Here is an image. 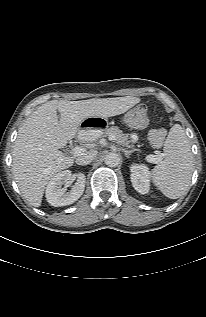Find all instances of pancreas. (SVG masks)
<instances>
[{
    "label": "pancreas",
    "instance_id": "pancreas-1",
    "mask_svg": "<svg viewBox=\"0 0 206 317\" xmlns=\"http://www.w3.org/2000/svg\"><path fill=\"white\" fill-rule=\"evenodd\" d=\"M104 136H114V141L122 146H126L128 148L133 147V145L130 144L129 136L128 134H124L117 126H112L110 128H107L103 133ZM100 136V135H99ZM98 136L96 135V137H91L89 136V134H85L84 135V139L85 140H94L96 139ZM136 149H133V151H135Z\"/></svg>",
    "mask_w": 206,
    "mask_h": 317
}]
</instances>
